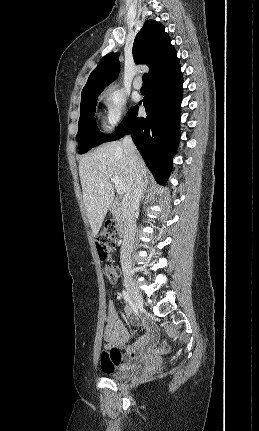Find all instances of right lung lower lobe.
<instances>
[{
	"mask_svg": "<svg viewBox=\"0 0 259 431\" xmlns=\"http://www.w3.org/2000/svg\"><path fill=\"white\" fill-rule=\"evenodd\" d=\"M182 94L183 76L177 64L150 80L148 94L143 99L147 117H139L138 105L134 106L105 141L131 134L147 167L163 185L168 180L179 143Z\"/></svg>",
	"mask_w": 259,
	"mask_h": 431,
	"instance_id": "right-lung-lower-lobe-1",
	"label": "right lung lower lobe"
}]
</instances>
